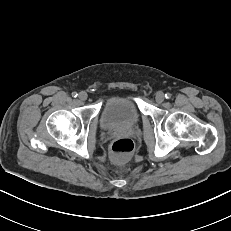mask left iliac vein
Masks as SVG:
<instances>
[{
  "mask_svg": "<svg viewBox=\"0 0 231 231\" xmlns=\"http://www.w3.org/2000/svg\"><path fill=\"white\" fill-rule=\"evenodd\" d=\"M155 99L158 103H162L165 100V95L162 92H158Z\"/></svg>",
  "mask_w": 231,
  "mask_h": 231,
  "instance_id": "obj_1",
  "label": "left iliac vein"
}]
</instances>
